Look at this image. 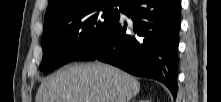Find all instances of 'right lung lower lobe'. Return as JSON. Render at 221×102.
<instances>
[{
    "label": "right lung lower lobe",
    "mask_w": 221,
    "mask_h": 102,
    "mask_svg": "<svg viewBox=\"0 0 221 102\" xmlns=\"http://www.w3.org/2000/svg\"><path fill=\"white\" fill-rule=\"evenodd\" d=\"M132 23L116 22L73 61L98 59L164 83L177 94L180 0H123Z\"/></svg>",
    "instance_id": "1"
}]
</instances>
